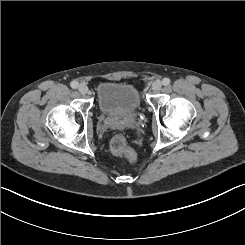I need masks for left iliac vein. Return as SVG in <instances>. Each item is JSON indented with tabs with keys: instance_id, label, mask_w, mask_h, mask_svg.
Returning a JSON list of instances; mask_svg holds the SVG:
<instances>
[{
	"instance_id": "1",
	"label": "left iliac vein",
	"mask_w": 245,
	"mask_h": 245,
	"mask_svg": "<svg viewBox=\"0 0 245 245\" xmlns=\"http://www.w3.org/2000/svg\"><path fill=\"white\" fill-rule=\"evenodd\" d=\"M162 87V83L159 80H156L152 83V90L158 92Z\"/></svg>"
}]
</instances>
